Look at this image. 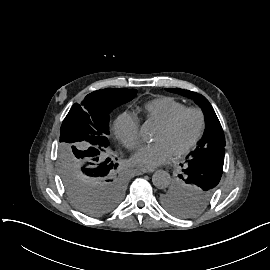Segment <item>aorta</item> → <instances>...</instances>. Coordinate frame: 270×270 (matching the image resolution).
<instances>
[{
	"label": "aorta",
	"mask_w": 270,
	"mask_h": 270,
	"mask_svg": "<svg viewBox=\"0 0 270 270\" xmlns=\"http://www.w3.org/2000/svg\"><path fill=\"white\" fill-rule=\"evenodd\" d=\"M171 177L164 170H157L152 176L153 185L159 189H164L170 184Z\"/></svg>",
	"instance_id": "aorta-1"
}]
</instances>
